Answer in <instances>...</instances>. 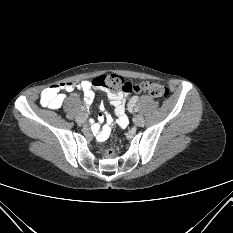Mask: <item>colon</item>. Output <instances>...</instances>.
<instances>
[{"instance_id": "5ec220e1", "label": "colon", "mask_w": 233, "mask_h": 233, "mask_svg": "<svg viewBox=\"0 0 233 233\" xmlns=\"http://www.w3.org/2000/svg\"><path fill=\"white\" fill-rule=\"evenodd\" d=\"M104 84H107L111 91L121 90L124 93H147L154 98H166L168 96L169 90L166 86L152 83L143 82L139 84H133L129 80L122 76L116 74L103 75ZM105 155L112 157L114 155V150L109 148L104 151Z\"/></svg>"}]
</instances>
